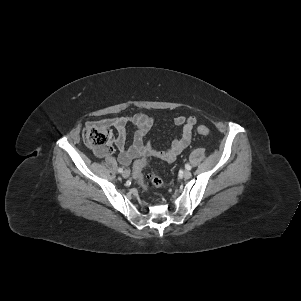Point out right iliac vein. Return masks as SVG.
<instances>
[{"mask_svg":"<svg viewBox=\"0 0 301 301\" xmlns=\"http://www.w3.org/2000/svg\"><path fill=\"white\" fill-rule=\"evenodd\" d=\"M122 176L124 177V178H128L129 176H130V171L129 170H124L123 172H122Z\"/></svg>","mask_w":301,"mask_h":301,"instance_id":"right-iliac-vein-1","label":"right iliac vein"}]
</instances>
